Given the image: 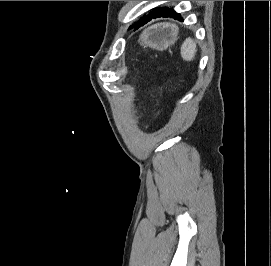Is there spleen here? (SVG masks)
<instances>
[{"instance_id": "3e777b00", "label": "spleen", "mask_w": 271, "mask_h": 266, "mask_svg": "<svg viewBox=\"0 0 271 266\" xmlns=\"http://www.w3.org/2000/svg\"><path fill=\"white\" fill-rule=\"evenodd\" d=\"M197 52L196 42L192 38H186L181 46V56L185 61L194 59Z\"/></svg>"}]
</instances>
